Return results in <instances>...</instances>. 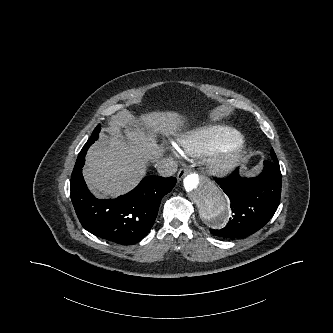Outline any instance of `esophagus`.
Listing matches in <instances>:
<instances>
[{"label":"esophagus","instance_id":"34e87169","mask_svg":"<svg viewBox=\"0 0 333 333\" xmlns=\"http://www.w3.org/2000/svg\"><path fill=\"white\" fill-rule=\"evenodd\" d=\"M186 173H187V169H185V168L180 169L178 172V175H177L178 181H181L184 178V176L186 175Z\"/></svg>","mask_w":333,"mask_h":333}]
</instances>
